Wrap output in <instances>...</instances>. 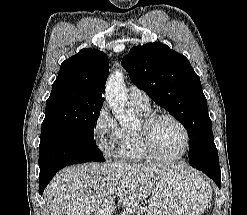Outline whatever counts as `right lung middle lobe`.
I'll list each match as a JSON object with an SVG mask.
<instances>
[{
  "mask_svg": "<svg viewBox=\"0 0 247 215\" xmlns=\"http://www.w3.org/2000/svg\"><path fill=\"white\" fill-rule=\"evenodd\" d=\"M103 102L76 96L68 89L51 92L46 102L41 141L59 133L94 141V127Z\"/></svg>",
  "mask_w": 247,
  "mask_h": 215,
  "instance_id": "1",
  "label": "right lung middle lobe"
}]
</instances>
